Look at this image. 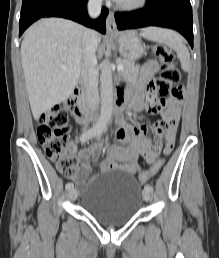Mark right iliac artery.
<instances>
[{"label": "right iliac artery", "mask_w": 219, "mask_h": 258, "mask_svg": "<svg viewBox=\"0 0 219 258\" xmlns=\"http://www.w3.org/2000/svg\"><path fill=\"white\" fill-rule=\"evenodd\" d=\"M98 130L97 129H90L86 132H84L81 137H80V140L82 142H85L87 140H89L90 138L94 137L96 134H97ZM73 187V184L71 182H68L66 184V189L69 190Z\"/></svg>", "instance_id": "right-iliac-artery-1"}]
</instances>
